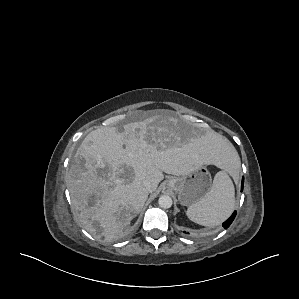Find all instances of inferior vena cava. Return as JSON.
<instances>
[{"label": "inferior vena cava", "mask_w": 299, "mask_h": 299, "mask_svg": "<svg viewBox=\"0 0 299 299\" xmlns=\"http://www.w3.org/2000/svg\"><path fill=\"white\" fill-rule=\"evenodd\" d=\"M145 189L150 193L152 191L151 183L147 180L143 182Z\"/></svg>", "instance_id": "obj_1"}]
</instances>
